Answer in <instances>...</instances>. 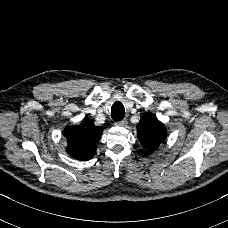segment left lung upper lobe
<instances>
[{
  "label": "left lung upper lobe",
  "instance_id": "obj_1",
  "mask_svg": "<svg viewBox=\"0 0 228 228\" xmlns=\"http://www.w3.org/2000/svg\"><path fill=\"white\" fill-rule=\"evenodd\" d=\"M137 137L145 154L148 155L165 141L167 130L154 114L146 113L137 125Z\"/></svg>",
  "mask_w": 228,
  "mask_h": 228
}]
</instances>
